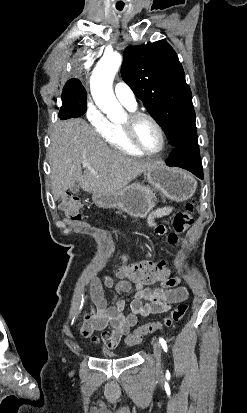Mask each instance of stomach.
I'll list each match as a JSON object with an SVG mask.
<instances>
[{"label":"stomach","mask_w":247,"mask_h":413,"mask_svg":"<svg viewBox=\"0 0 247 413\" xmlns=\"http://www.w3.org/2000/svg\"><path fill=\"white\" fill-rule=\"evenodd\" d=\"M144 174L152 188L135 182L117 192H94L95 204L102 209H121L131 217L144 219L154 207V190H159L170 200L182 202L191 198L197 188V180L192 174L160 162L151 164Z\"/></svg>","instance_id":"obj_1"}]
</instances>
